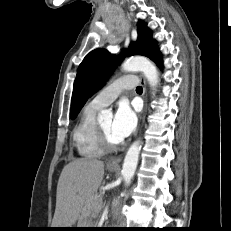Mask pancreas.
<instances>
[{
	"label": "pancreas",
	"mask_w": 231,
	"mask_h": 231,
	"mask_svg": "<svg viewBox=\"0 0 231 231\" xmlns=\"http://www.w3.org/2000/svg\"><path fill=\"white\" fill-rule=\"evenodd\" d=\"M102 198H103V194L102 193H95L93 194L88 201L89 206H97V205H101L102 203Z\"/></svg>",
	"instance_id": "obj_1"
}]
</instances>
